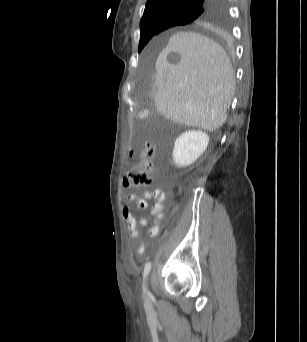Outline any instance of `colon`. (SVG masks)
Segmentation results:
<instances>
[{
	"instance_id": "colon-1",
	"label": "colon",
	"mask_w": 307,
	"mask_h": 342,
	"mask_svg": "<svg viewBox=\"0 0 307 342\" xmlns=\"http://www.w3.org/2000/svg\"><path fill=\"white\" fill-rule=\"evenodd\" d=\"M156 147L151 142H146L139 150V160L123 178L125 187L147 186L153 182L155 174L154 156Z\"/></svg>"
}]
</instances>
